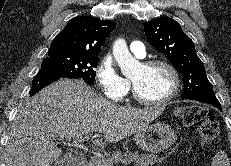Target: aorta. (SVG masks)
<instances>
[{
  "instance_id": "1",
  "label": "aorta",
  "mask_w": 231,
  "mask_h": 166,
  "mask_svg": "<svg viewBox=\"0 0 231 166\" xmlns=\"http://www.w3.org/2000/svg\"><path fill=\"white\" fill-rule=\"evenodd\" d=\"M113 56L124 76H130L140 68V62L131 55L124 39H118L113 45Z\"/></svg>"
}]
</instances>
